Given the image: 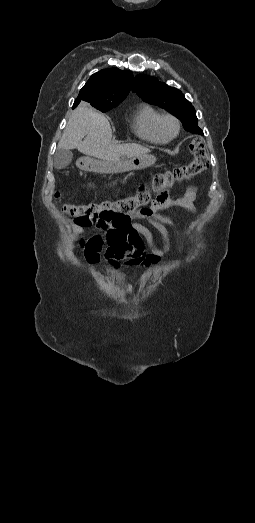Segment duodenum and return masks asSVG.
<instances>
[{
	"label": "duodenum",
	"mask_w": 255,
	"mask_h": 523,
	"mask_svg": "<svg viewBox=\"0 0 255 523\" xmlns=\"http://www.w3.org/2000/svg\"><path fill=\"white\" fill-rule=\"evenodd\" d=\"M83 165L87 168V166H88V161H83Z\"/></svg>",
	"instance_id": "obj_1"
}]
</instances>
